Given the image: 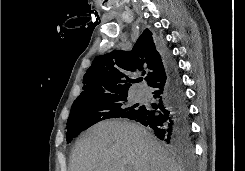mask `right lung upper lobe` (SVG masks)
<instances>
[{"mask_svg":"<svg viewBox=\"0 0 245 171\" xmlns=\"http://www.w3.org/2000/svg\"><path fill=\"white\" fill-rule=\"evenodd\" d=\"M148 71L147 83L154 84L166 74V67L152 32L145 29L131 51L113 50L97 56L83 77V92L75 101L96 100L128 94L132 74Z\"/></svg>","mask_w":245,"mask_h":171,"instance_id":"right-lung-upper-lobe-1","label":"right lung upper lobe"}]
</instances>
